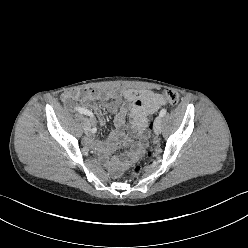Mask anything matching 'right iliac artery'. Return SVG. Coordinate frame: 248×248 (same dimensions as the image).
<instances>
[{
  "mask_svg": "<svg viewBox=\"0 0 248 248\" xmlns=\"http://www.w3.org/2000/svg\"><path fill=\"white\" fill-rule=\"evenodd\" d=\"M76 110L81 113V114H85V115H88L90 117H93V114L92 112H90L89 110L85 109V108H82V107H77ZM92 131H96V128H93Z\"/></svg>",
  "mask_w": 248,
  "mask_h": 248,
  "instance_id": "right-iliac-artery-1",
  "label": "right iliac artery"
}]
</instances>
